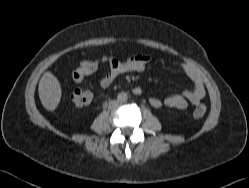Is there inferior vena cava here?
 Returning <instances> with one entry per match:
<instances>
[{
  "instance_id": "obj_1",
  "label": "inferior vena cava",
  "mask_w": 249,
  "mask_h": 188,
  "mask_svg": "<svg viewBox=\"0 0 249 188\" xmlns=\"http://www.w3.org/2000/svg\"><path fill=\"white\" fill-rule=\"evenodd\" d=\"M117 105H118V101L117 100H112V101L109 102L108 107L110 109H112V108L116 107Z\"/></svg>"
}]
</instances>
